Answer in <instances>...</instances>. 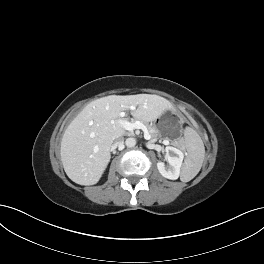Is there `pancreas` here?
<instances>
[{
  "instance_id": "1",
  "label": "pancreas",
  "mask_w": 264,
  "mask_h": 264,
  "mask_svg": "<svg viewBox=\"0 0 264 264\" xmlns=\"http://www.w3.org/2000/svg\"><path fill=\"white\" fill-rule=\"evenodd\" d=\"M141 122H142L143 124H145V126L147 127L148 132H149V134L151 135L152 138H157V137H159L158 130L156 129L155 126L149 125V124L143 122L142 120H141ZM173 144H175V143H173ZM175 145H176V144H175Z\"/></svg>"
}]
</instances>
